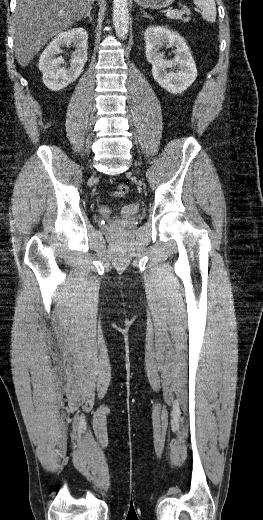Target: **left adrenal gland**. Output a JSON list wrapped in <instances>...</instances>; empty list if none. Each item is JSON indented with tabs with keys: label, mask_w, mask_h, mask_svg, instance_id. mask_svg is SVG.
Wrapping results in <instances>:
<instances>
[{
	"label": "left adrenal gland",
	"mask_w": 263,
	"mask_h": 520,
	"mask_svg": "<svg viewBox=\"0 0 263 520\" xmlns=\"http://www.w3.org/2000/svg\"><path fill=\"white\" fill-rule=\"evenodd\" d=\"M143 17L152 19V17L150 15H148L147 13H145V12H143Z\"/></svg>",
	"instance_id": "obj_1"
}]
</instances>
